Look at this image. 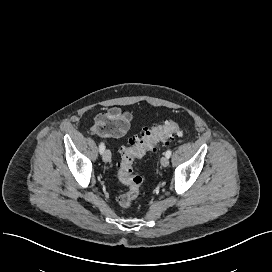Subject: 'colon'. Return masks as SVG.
<instances>
[{
	"instance_id": "1",
	"label": "colon",
	"mask_w": 272,
	"mask_h": 272,
	"mask_svg": "<svg viewBox=\"0 0 272 272\" xmlns=\"http://www.w3.org/2000/svg\"><path fill=\"white\" fill-rule=\"evenodd\" d=\"M128 114L117 108H112L95 118L94 130L101 136H122L128 127ZM182 130L181 124L176 120H169L161 125L146 129L140 136L132 138L129 144L121 151L119 164V180L127 186V191L118 197V204L128 208L139 196L143 179L134 174V164L137 159L146 153L154 151L160 143H167L174 134Z\"/></svg>"
}]
</instances>
